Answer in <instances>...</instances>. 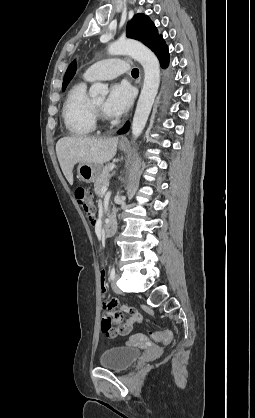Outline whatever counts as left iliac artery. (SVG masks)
I'll return each mask as SVG.
<instances>
[{"label":"left iliac artery","mask_w":255,"mask_h":418,"mask_svg":"<svg viewBox=\"0 0 255 418\" xmlns=\"http://www.w3.org/2000/svg\"><path fill=\"white\" fill-rule=\"evenodd\" d=\"M115 274H116V272H115V266L113 265V267H112V269L110 271V275H109V277H110L111 280H114Z\"/></svg>","instance_id":"obj_1"}]
</instances>
